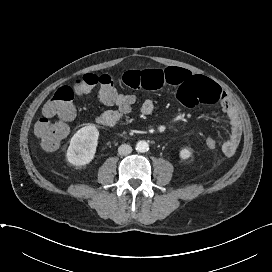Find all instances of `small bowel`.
I'll use <instances>...</instances> for the list:
<instances>
[{"instance_id": "1", "label": "small bowel", "mask_w": 272, "mask_h": 272, "mask_svg": "<svg viewBox=\"0 0 272 272\" xmlns=\"http://www.w3.org/2000/svg\"><path fill=\"white\" fill-rule=\"evenodd\" d=\"M122 82L128 88L136 90H158L165 86H175L178 89V100L189 108L201 103L218 104L229 120V135L226 139L216 138L217 147L227 157H232L236 153L242 135L240 115L225 92L215 82L177 67L129 70L123 74ZM139 110L142 115H150L154 111V104L151 100H145ZM127 113L129 111L120 108L109 109L96 118V123L104 128H112Z\"/></svg>"}]
</instances>
